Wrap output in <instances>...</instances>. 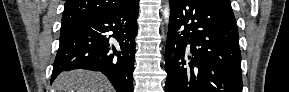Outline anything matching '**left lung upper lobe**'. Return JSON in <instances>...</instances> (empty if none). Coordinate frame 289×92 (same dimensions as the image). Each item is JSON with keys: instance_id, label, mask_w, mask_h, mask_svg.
Instances as JSON below:
<instances>
[{"instance_id": "left-lung-upper-lobe-1", "label": "left lung upper lobe", "mask_w": 289, "mask_h": 92, "mask_svg": "<svg viewBox=\"0 0 289 92\" xmlns=\"http://www.w3.org/2000/svg\"><path fill=\"white\" fill-rule=\"evenodd\" d=\"M213 1L218 2V3H221V4H223L224 6L232 9V8H231L230 0H213Z\"/></svg>"}]
</instances>
